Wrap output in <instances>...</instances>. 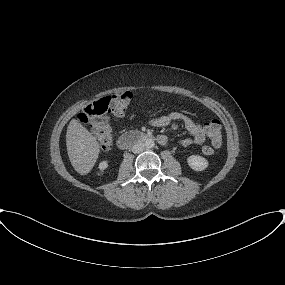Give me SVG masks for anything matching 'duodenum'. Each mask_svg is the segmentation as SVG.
<instances>
[{
  "mask_svg": "<svg viewBox=\"0 0 285 285\" xmlns=\"http://www.w3.org/2000/svg\"><path fill=\"white\" fill-rule=\"evenodd\" d=\"M155 139L151 134L142 133V132H129L121 135L117 140V146L119 149H127L133 145L147 142ZM158 140L161 144L166 142V139L158 137Z\"/></svg>",
  "mask_w": 285,
  "mask_h": 285,
  "instance_id": "1",
  "label": "duodenum"
}]
</instances>
